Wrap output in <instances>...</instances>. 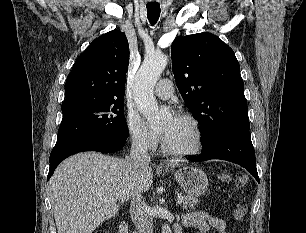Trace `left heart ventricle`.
<instances>
[{
	"mask_svg": "<svg viewBox=\"0 0 306 233\" xmlns=\"http://www.w3.org/2000/svg\"><path fill=\"white\" fill-rule=\"evenodd\" d=\"M160 131H166L163 139L167 146L173 150H189L195 145L196 136L194 128L184 119L170 118L164 122Z\"/></svg>",
	"mask_w": 306,
	"mask_h": 233,
	"instance_id": "obj_1",
	"label": "left heart ventricle"
}]
</instances>
